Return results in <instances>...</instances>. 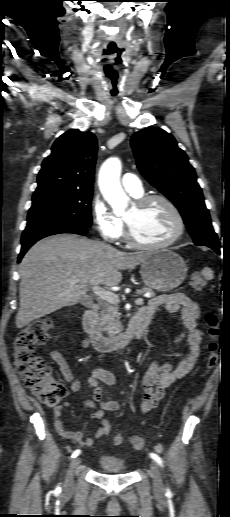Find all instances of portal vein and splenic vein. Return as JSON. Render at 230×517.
Wrapping results in <instances>:
<instances>
[{
    "instance_id": "portal-vein-and-splenic-vein-1",
    "label": "portal vein and splenic vein",
    "mask_w": 230,
    "mask_h": 517,
    "mask_svg": "<svg viewBox=\"0 0 230 517\" xmlns=\"http://www.w3.org/2000/svg\"><path fill=\"white\" fill-rule=\"evenodd\" d=\"M79 279L77 278H71L68 280V282L70 284H76L78 283ZM93 291L94 293L100 297L101 299L107 301L108 303H113V304H116L119 302V297L117 294L113 293V292H110V291H106L100 287H97V286H94L93 288ZM148 295H150L148 293ZM136 305H142L143 304V299L142 298H138L136 301H135Z\"/></svg>"
}]
</instances>
